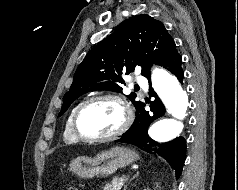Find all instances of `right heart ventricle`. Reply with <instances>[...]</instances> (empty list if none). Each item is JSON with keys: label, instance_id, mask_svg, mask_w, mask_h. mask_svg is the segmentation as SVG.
<instances>
[{"label": "right heart ventricle", "instance_id": "obj_1", "mask_svg": "<svg viewBox=\"0 0 238 190\" xmlns=\"http://www.w3.org/2000/svg\"><path fill=\"white\" fill-rule=\"evenodd\" d=\"M78 106H79V104L76 105L72 109V111L70 112L68 119L66 121L63 137H64V140L68 143H74V142L78 141V138L74 134L73 128H72V118H73L74 112Z\"/></svg>", "mask_w": 238, "mask_h": 190}]
</instances>
